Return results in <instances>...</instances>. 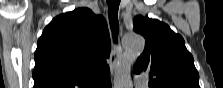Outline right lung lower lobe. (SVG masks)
<instances>
[{"mask_svg": "<svg viewBox=\"0 0 223 88\" xmlns=\"http://www.w3.org/2000/svg\"><path fill=\"white\" fill-rule=\"evenodd\" d=\"M110 87L111 85L109 77L96 85V88H110Z\"/></svg>", "mask_w": 223, "mask_h": 88, "instance_id": "1", "label": "right lung lower lobe"}]
</instances>
